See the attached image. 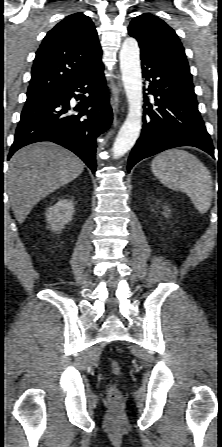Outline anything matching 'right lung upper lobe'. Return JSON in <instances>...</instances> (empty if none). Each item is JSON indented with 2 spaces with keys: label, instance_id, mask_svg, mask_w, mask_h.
<instances>
[{
  "label": "right lung upper lobe",
  "instance_id": "obj_1",
  "mask_svg": "<svg viewBox=\"0 0 222 447\" xmlns=\"http://www.w3.org/2000/svg\"><path fill=\"white\" fill-rule=\"evenodd\" d=\"M95 26L83 13L50 30L36 52L27 98H51L101 63Z\"/></svg>",
  "mask_w": 222,
  "mask_h": 447
}]
</instances>
